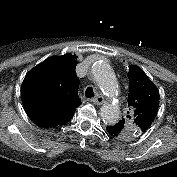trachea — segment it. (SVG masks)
Instances as JSON below:
<instances>
[{"label":"trachea","instance_id":"1","mask_svg":"<svg viewBox=\"0 0 177 177\" xmlns=\"http://www.w3.org/2000/svg\"><path fill=\"white\" fill-rule=\"evenodd\" d=\"M85 96H86L87 98H92V97H94V90H93L92 87H88V88L86 89V91H85Z\"/></svg>","mask_w":177,"mask_h":177}]
</instances>
